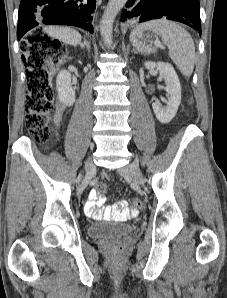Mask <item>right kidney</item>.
<instances>
[{
	"instance_id": "right-kidney-1",
	"label": "right kidney",
	"mask_w": 227,
	"mask_h": 298,
	"mask_svg": "<svg viewBox=\"0 0 227 298\" xmlns=\"http://www.w3.org/2000/svg\"><path fill=\"white\" fill-rule=\"evenodd\" d=\"M56 89L59 101L67 106H72L75 102V91L72 89L71 74L66 70H61L57 76Z\"/></svg>"
}]
</instances>
